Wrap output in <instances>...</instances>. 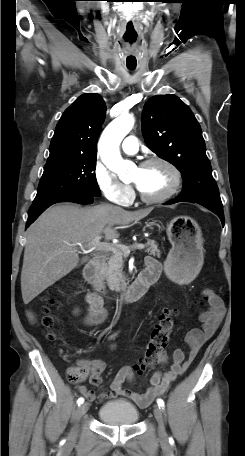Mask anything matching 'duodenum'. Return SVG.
<instances>
[{
  "label": "duodenum",
  "mask_w": 245,
  "mask_h": 456,
  "mask_svg": "<svg viewBox=\"0 0 245 456\" xmlns=\"http://www.w3.org/2000/svg\"><path fill=\"white\" fill-rule=\"evenodd\" d=\"M105 261L106 256L104 254L96 255L86 264L83 271L86 282L98 297L107 296L108 294L100 273ZM159 273L160 268L158 265L146 264L136 280L118 293V299L122 302H133L140 299L158 279Z\"/></svg>",
  "instance_id": "obj_1"
}]
</instances>
